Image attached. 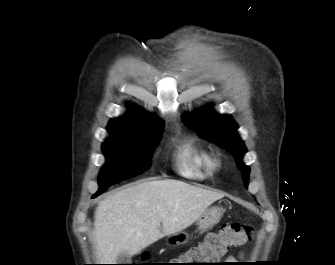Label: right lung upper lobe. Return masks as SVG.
Wrapping results in <instances>:
<instances>
[{"mask_svg": "<svg viewBox=\"0 0 335 265\" xmlns=\"http://www.w3.org/2000/svg\"><path fill=\"white\" fill-rule=\"evenodd\" d=\"M162 126L163 122L160 120L130 105V111L125 116L110 121L108 131L110 133L122 129L160 128Z\"/></svg>", "mask_w": 335, "mask_h": 265, "instance_id": "cb5924a9", "label": "right lung upper lobe"}]
</instances>
